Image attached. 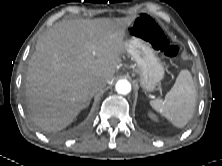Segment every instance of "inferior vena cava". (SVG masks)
Instances as JSON below:
<instances>
[{
    "mask_svg": "<svg viewBox=\"0 0 222 166\" xmlns=\"http://www.w3.org/2000/svg\"><path fill=\"white\" fill-rule=\"evenodd\" d=\"M106 84H107V81L104 79L96 80L92 85L93 93L102 91L105 88Z\"/></svg>",
    "mask_w": 222,
    "mask_h": 166,
    "instance_id": "inferior-vena-cava-1",
    "label": "inferior vena cava"
}]
</instances>
